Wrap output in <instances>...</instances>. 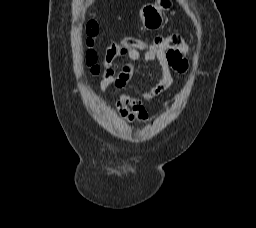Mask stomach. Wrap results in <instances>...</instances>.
<instances>
[{
  "mask_svg": "<svg viewBox=\"0 0 256 228\" xmlns=\"http://www.w3.org/2000/svg\"><path fill=\"white\" fill-rule=\"evenodd\" d=\"M173 7V0H157V2L145 5L140 10L143 27L147 30H156L164 23L162 12Z\"/></svg>",
  "mask_w": 256,
  "mask_h": 228,
  "instance_id": "stomach-1",
  "label": "stomach"
}]
</instances>
